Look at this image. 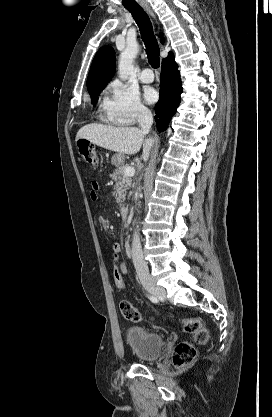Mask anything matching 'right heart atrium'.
I'll use <instances>...</instances> for the list:
<instances>
[{
  "label": "right heart atrium",
  "instance_id": "1",
  "mask_svg": "<svg viewBox=\"0 0 272 417\" xmlns=\"http://www.w3.org/2000/svg\"><path fill=\"white\" fill-rule=\"evenodd\" d=\"M103 109L108 119L119 125L135 124L150 114L139 93L120 81L109 84Z\"/></svg>",
  "mask_w": 272,
  "mask_h": 417
}]
</instances>
